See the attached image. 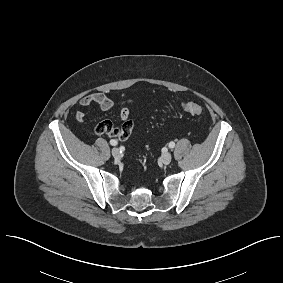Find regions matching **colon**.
<instances>
[{
  "instance_id": "obj_1",
  "label": "colon",
  "mask_w": 283,
  "mask_h": 283,
  "mask_svg": "<svg viewBox=\"0 0 283 283\" xmlns=\"http://www.w3.org/2000/svg\"><path fill=\"white\" fill-rule=\"evenodd\" d=\"M181 109L191 115L199 116L203 114L202 106L193 102L182 103ZM95 132L100 135L105 134L110 136H116L118 133V127H114L113 124L109 121H102L96 125Z\"/></svg>"
}]
</instances>
